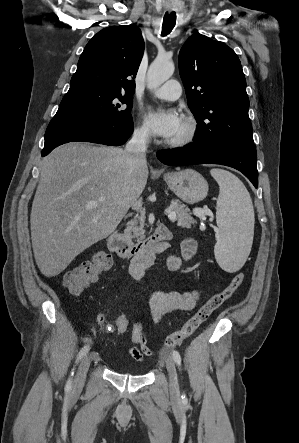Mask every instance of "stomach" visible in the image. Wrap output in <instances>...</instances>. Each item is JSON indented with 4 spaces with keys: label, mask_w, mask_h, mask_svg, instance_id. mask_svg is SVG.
<instances>
[{
    "label": "stomach",
    "mask_w": 299,
    "mask_h": 443,
    "mask_svg": "<svg viewBox=\"0 0 299 443\" xmlns=\"http://www.w3.org/2000/svg\"><path fill=\"white\" fill-rule=\"evenodd\" d=\"M164 180L175 195L188 204L198 203L207 196V181L193 169L165 173Z\"/></svg>",
    "instance_id": "stomach-1"
}]
</instances>
